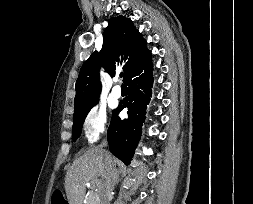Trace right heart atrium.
I'll return each mask as SVG.
<instances>
[{
    "label": "right heart atrium",
    "mask_w": 253,
    "mask_h": 204,
    "mask_svg": "<svg viewBox=\"0 0 253 204\" xmlns=\"http://www.w3.org/2000/svg\"><path fill=\"white\" fill-rule=\"evenodd\" d=\"M83 133L89 144L95 143L107 130V113L101 106L89 109L83 120Z\"/></svg>",
    "instance_id": "d8ad5b80"
}]
</instances>
